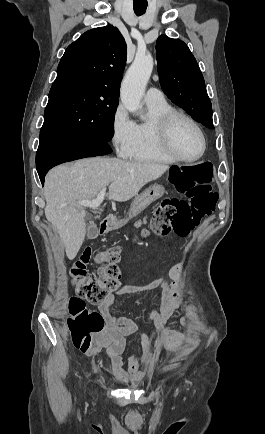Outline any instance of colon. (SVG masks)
Returning a JSON list of instances; mask_svg holds the SVG:
<instances>
[{
  "mask_svg": "<svg viewBox=\"0 0 265 434\" xmlns=\"http://www.w3.org/2000/svg\"><path fill=\"white\" fill-rule=\"evenodd\" d=\"M168 175L175 178V189H186L187 199L172 197L162 200L153 213L152 230L158 237L171 234L186 237L199 226L203 217L214 212L218 202V193L211 183L212 167L211 164H172ZM120 255L118 246L87 252L71 267L70 280L77 295L72 293L68 297L72 301L68 303L71 311L67 312L70 326H66L64 332L71 335L72 347H89L90 335H97L98 327L104 326V319L95 310H88L86 302L92 305L107 303L117 291L121 274L118 266ZM91 260L99 265L97 277L87 274ZM171 353L174 352L171 350L168 354Z\"/></svg>",
  "mask_w": 265,
  "mask_h": 434,
  "instance_id": "obj_1",
  "label": "colon"
}]
</instances>
